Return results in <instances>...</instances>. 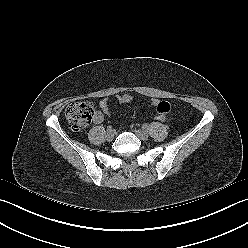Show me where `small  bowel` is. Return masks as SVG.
Listing matches in <instances>:
<instances>
[{"mask_svg": "<svg viewBox=\"0 0 248 248\" xmlns=\"http://www.w3.org/2000/svg\"><path fill=\"white\" fill-rule=\"evenodd\" d=\"M115 98L121 104H129L133 101V96L130 94L116 95ZM150 105L163 115L168 114L171 110L170 104L166 101L154 99L152 100ZM99 107L100 110H98L93 116V121L95 124L102 123L104 120V116L110 113L108 107V99H102L99 102Z\"/></svg>", "mask_w": 248, "mask_h": 248, "instance_id": "small-bowel-1", "label": "small bowel"}]
</instances>
